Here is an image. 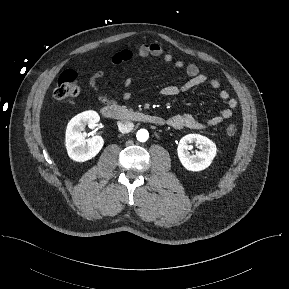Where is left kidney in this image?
I'll use <instances>...</instances> for the list:
<instances>
[{
	"mask_svg": "<svg viewBox=\"0 0 289 289\" xmlns=\"http://www.w3.org/2000/svg\"><path fill=\"white\" fill-rule=\"evenodd\" d=\"M196 143L200 151L190 154L189 144ZM178 157L181 164L189 171H202L210 166L215 158L217 148L214 142L200 134H188L184 136L178 145Z\"/></svg>",
	"mask_w": 289,
	"mask_h": 289,
	"instance_id": "left-kidney-1",
	"label": "left kidney"
}]
</instances>
